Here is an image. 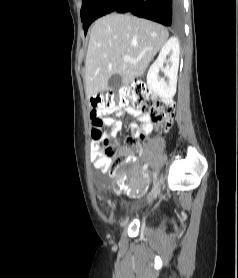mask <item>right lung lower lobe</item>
I'll list each match as a JSON object with an SVG mask.
<instances>
[{
    "mask_svg": "<svg viewBox=\"0 0 238 278\" xmlns=\"http://www.w3.org/2000/svg\"><path fill=\"white\" fill-rule=\"evenodd\" d=\"M182 0H100L88 14L90 25L97 18L116 11L153 20L164 26L179 27L182 23Z\"/></svg>",
    "mask_w": 238,
    "mask_h": 278,
    "instance_id": "right-lung-lower-lobe-1",
    "label": "right lung lower lobe"
}]
</instances>
